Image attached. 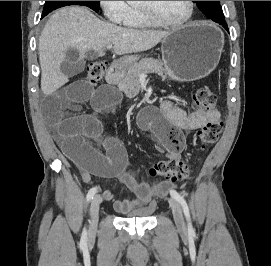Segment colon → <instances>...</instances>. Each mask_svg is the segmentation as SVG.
Instances as JSON below:
<instances>
[{"mask_svg": "<svg viewBox=\"0 0 271 266\" xmlns=\"http://www.w3.org/2000/svg\"><path fill=\"white\" fill-rule=\"evenodd\" d=\"M107 69L105 61H94L87 69V78L90 84H98ZM194 103L209 115L208 120L198 132V138L202 147L215 143L222 130L223 122L220 118L213 116L216 111V95L207 86L198 88L193 95ZM152 176L163 177L167 181L176 182L188 177L189 168L187 164L178 159L163 160L155 164L151 170Z\"/></svg>", "mask_w": 271, "mask_h": 266, "instance_id": "1", "label": "colon"}]
</instances>
